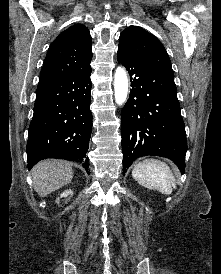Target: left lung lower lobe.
I'll use <instances>...</instances> for the list:
<instances>
[{
	"mask_svg": "<svg viewBox=\"0 0 221 274\" xmlns=\"http://www.w3.org/2000/svg\"><path fill=\"white\" fill-rule=\"evenodd\" d=\"M117 58L132 86L121 112L123 172L135 159L154 155L169 158L184 173L187 138L174 76L120 50Z\"/></svg>",
	"mask_w": 221,
	"mask_h": 274,
	"instance_id": "1",
	"label": "left lung lower lobe"
}]
</instances>
